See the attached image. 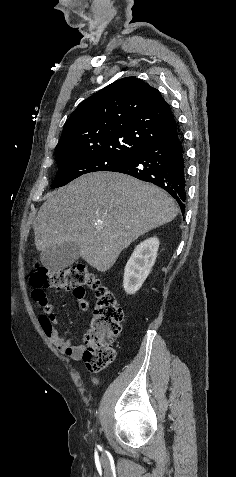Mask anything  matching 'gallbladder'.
I'll list each match as a JSON object with an SVG mask.
<instances>
[{
  "label": "gallbladder",
  "mask_w": 236,
  "mask_h": 477,
  "mask_svg": "<svg viewBox=\"0 0 236 477\" xmlns=\"http://www.w3.org/2000/svg\"><path fill=\"white\" fill-rule=\"evenodd\" d=\"M78 259V247L71 242L55 245L41 253L42 264L53 271L63 270Z\"/></svg>",
  "instance_id": "1"
}]
</instances>
